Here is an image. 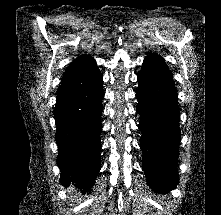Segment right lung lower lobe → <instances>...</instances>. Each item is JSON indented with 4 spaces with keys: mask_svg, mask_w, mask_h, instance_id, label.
Segmentation results:
<instances>
[{
    "mask_svg": "<svg viewBox=\"0 0 221 215\" xmlns=\"http://www.w3.org/2000/svg\"><path fill=\"white\" fill-rule=\"evenodd\" d=\"M102 75L98 69L63 82L57 92L54 110L59 148L57 164L60 182L69 186L90 189L96 179L100 157L102 130Z\"/></svg>",
    "mask_w": 221,
    "mask_h": 215,
    "instance_id": "obj_1",
    "label": "right lung lower lobe"
}]
</instances>
